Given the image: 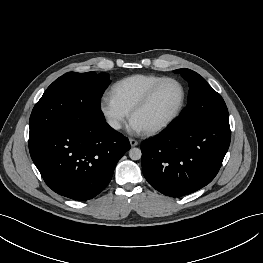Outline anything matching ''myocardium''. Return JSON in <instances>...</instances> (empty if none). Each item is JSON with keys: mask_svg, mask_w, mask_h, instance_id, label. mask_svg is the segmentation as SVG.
<instances>
[{"mask_svg": "<svg viewBox=\"0 0 263 263\" xmlns=\"http://www.w3.org/2000/svg\"><path fill=\"white\" fill-rule=\"evenodd\" d=\"M168 81L175 82L181 88L182 96H181L180 103H179L177 109L175 110V112L168 119H166L162 123H160V124H158L152 128L143 130V133L145 135H148V136L155 135V134L161 132L162 130L166 129L167 127H169L180 116V114L182 113V111L185 107V104L187 101V89H186V86L184 85V83L176 77H164L161 80H159L158 82H156L144 94V96L134 105V107L130 111L131 119H133L134 115L137 112H139L140 110H142L143 108H145L149 104L152 97L154 96L156 91L159 89V87Z\"/></svg>", "mask_w": 263, "mask_h": 263, "instance_id": "myocardium-1", "label": "myocardium"}]
</instances>
